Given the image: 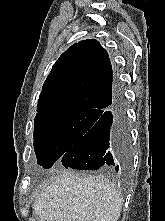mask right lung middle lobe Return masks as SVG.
<instances>
[{"mask_svg": "<svg viewBox=\"0 0 165 221\" xmlns=\"http://www.w3.org/2000/svg\"><path fill=\"white\" fill-rule=\"evenodd\" d=\"M99 111L57 109L37 113L34 123V150L37 163L50 168L97 121Z\"/></svg>", "mask_w": 165, "mask_h": 221, "instance_id": "dd1d6c3e", "label": "right lung middle lobe"}]
</instances>
